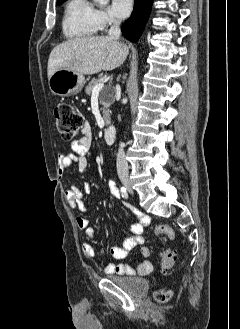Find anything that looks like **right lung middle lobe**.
<instances>
[{
	"mask_svg": "<svg viewBox=\"0 0 240 329\" xmlns=\"http://www.w3.org/2000/svg\"><path fill=\"white\" fill-rule=\"evenodd\" d=\"M59 1L62 3V2H64L65 0H59ZM59 1H58V2H59Z\"/></svg>",
	"mask_w": 240,
	"mask_h": 329,
	"instance_id": "1",
	"label": "right lung middle lobe"
}]
</instances>
